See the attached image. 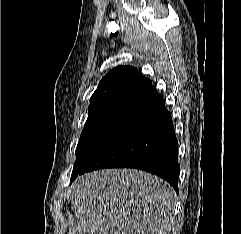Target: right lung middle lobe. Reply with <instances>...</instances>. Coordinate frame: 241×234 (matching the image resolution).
<instances>
[{
  "label": "right lung middle lobe",
  "mask_w": 241,
  "mask_h": 234,
  "mask_svg": "<svg viewBox=\"0 0 241 234\" xmlns=\"http://www.w3.org/2000/svg\"><path fill=\"white\" fill-rule=\"evenodd\" d=\"M137 105L113 103L89 107V116L76 148V163L70 182L77 177L94 149Z\"/></svg>",
  "instance_id": "obj_1"
}]
</instances>
